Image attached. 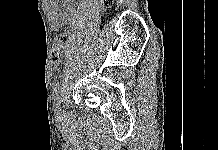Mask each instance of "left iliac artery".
I'll list each match as a JSON object with an SVG mask.
<instances>
[{"mask_svg":"<svg viewBox=\"0 0 218 150\" xmlns=\"http://www.w3.org/2000/svg\"><path fill=\"white\" fill-rule=\"evenodd\" d=\"M62 85L60 82H57L54 89H53V94H52V98H53V103L54 105H59L60 104V94L62 92Z\"/></svg>","mask_w":218,"mask_h":150,"instance_id":"obj_1","label":"left iliac artery"}]
</instances>
